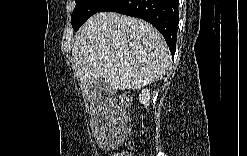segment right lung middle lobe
I'll return each mask as SVG.
<instances>
[{
	"instance_id": "right-lung-middle-lobe-1",
	"label": "right lung middle lobe",
	"mask_w": 247,
	"mask_h": 156,
	"mask_svg": "<svg viewBox=\"0 0 247 156\" xmlns=\"http://www.w3.org/2000/svg\"><path fill=\"white\" fill-rule=\"evenodd\" d=\"M75 2L71 23L73 29L77 31L90 16L101 9L107 0H75Z\"/></svg>"
}]
</instances>
